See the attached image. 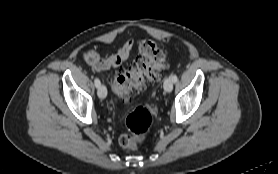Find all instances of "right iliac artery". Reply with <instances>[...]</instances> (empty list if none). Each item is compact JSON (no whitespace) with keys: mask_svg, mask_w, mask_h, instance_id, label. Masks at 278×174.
Listing matches in <instances>:
<instances>
[{"mask_svg":"<svg viewBox=\"0 0 278 174\" xmlns=\"http://www.w3.org/2000/svg\"><path fill=\"white\" fill-rule=\"evenodd\" d=\"M94 83L97 88L101 85L100 80L98 78H95Z\"/></svg>","mask_w":278,"mask_h":174,"instance_id":"right-iliac-artery-1","label":"right iliac artery"}]
</instances>
